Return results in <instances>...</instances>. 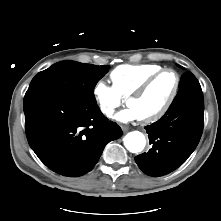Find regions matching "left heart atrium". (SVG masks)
I'll return each instance as SVG.
<instances>
[{
    "instance_id": "39dd6f15",
    "label": "left heart atrium",
    "mask_w": 221,
    "mask_h": 221,
    "mask_svg": "<svg viewBox=\"0 0 221 221\" xmlns=\"http://www.w3.org/2000/svg\"><path fill=\"white\" fill-rule=\"evenodd\" d=\"M115 119L120 123H130L139 120L140 117L133 107L128 106L127 108L119 111L115 115Z\"/></svg>"
}]
</instances>
